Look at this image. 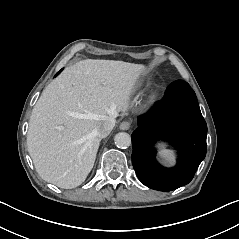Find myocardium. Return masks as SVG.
I'll return each instance as SVG.
<instances>
[{"label":"myocardium","mask_w":239,"mask_h":239,"mask_svg":"<svg viewBox=\"0 0 239 239\" xmlns=\"http://www.w3.org/2000/svg\"><path fill=\"white\" fill-rule=\"evenodd\" d=\"M161 91H162L161 86L156 85L155 87H153L152 90L149 92L147 104L148 105L155 104L161 95Z\"/></svg>","instance_id":"1"}]
</instances>
